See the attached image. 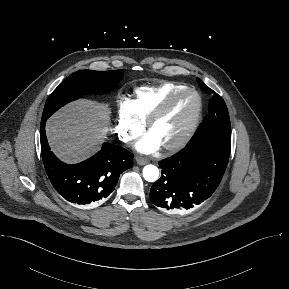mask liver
Wrapping results in <instances>:
<instances>
[{"instance_id": "1", "label": "liver", "mask_w": 289, "mask_h": 289, "mask_svg": "<svg viewBox=\"0 0 289 289\" xmlns=\"http://www.w3.org/2000/svg\"><path fill=\"white\" fill-rule=\"evenodd\" d=\"M109 111L96 101L81 99L55 113L46 124L52 151L64 162H80L107 138Z\"/></svg>"}]
</instances>
